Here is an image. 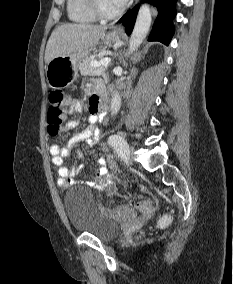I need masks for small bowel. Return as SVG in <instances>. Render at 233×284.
<instances>
[{
  "label": "small bowel",
  "instance_id": "obj_1",
  "mask_svg": "<svg viewBox=\"0 0 233 284\" xmlns=\"http://www.w3.org/2000/svg\"><path fill=\"white\" fill-rule=\"evenodd\" d=\"M83 110L82 104L79 100L73 99L69 101V111L70 115L80 114ZM89 121L91 125L84 129L82 132L74 135L68 142L66 146H59L52 144L49 147V153L52 157V163L57 167L58 177L57 183L59 186L67 188L70 185L77 183L75 177L80 173L81 167L72 162L70 165H65V159L70 156L73 146L80 141L94 140L98 135V130L94 126L95 124L101 123L106 117V110L99 103L96 96H92L89 101ZM77 120H69L65 124V129H72L76 127ZM78 157L83 156L82 151L78 150ZM109 155L101 157L98 161V166L95 169L94 176L91 180L86 181L85 184L90 186H101L105 183L110 182L109 173L106 165L109 163Z\"/></svg>",
  "mask_w": 233,
  "mask_h": 284
}]
</instances>
